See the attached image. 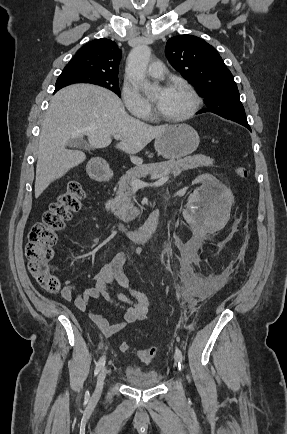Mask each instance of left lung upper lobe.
I'll list each match as a JSON object with an SVG mask.
<instances>
[{
  "label": "left lung upper lobe",
  "mask_w": 287,
  "mask_h": 434,
  "mask_svg": "<svg viewBox=\"0 0 287 434\" xmlns=\"http://www.w3.org/2000/svg\"><path fill=\"white\" fill-rule=\"evenodd\" d=\"M166 56L171 65L205 98L206 112L245 113L231 72L218 52L203 39L192 35L170 38Z\"/></svg>",
  "instance_id": "obj_1"
}]
</instances>
